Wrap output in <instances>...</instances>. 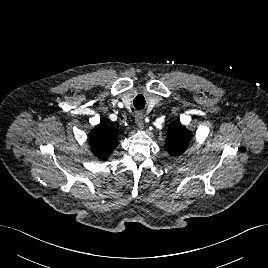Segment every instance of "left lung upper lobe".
I'll list each match as a JSON object with an SVG mask.
<instances>
[{
    "label": "left lung upper lobe",
    "mask_w": 268,
    "mask_h": 268,
    "mask_svg": "<svg viewBox=\"0 0 268 268\" xmlns=\"http://www.w3.org/2000/svg\"><path fill=\"white\" fill-rule=\"evenodd\" d=\"M190 132L180 124L170 126L166 135V143L164 149L171 156H178L183 154L190 142Z\"/></svg>",
    "instance_id": "obj_1"
}]
</instances>
